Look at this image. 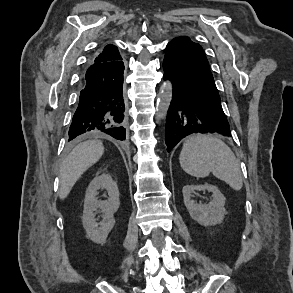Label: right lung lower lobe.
<instances>
[{"label": "right lung lower lobe", "mask_w": 293, "mask_h": 293, "mask_svg": "<svg viewBox=\"0 0 293 293\" xmlns=\"http://www.w3.org/2000/svg\"><path fill=\"white\" fill-rule=\"evenodd\" d=\"M122 61L92 64L86 71L69 141L79 135H110L125 140Z\"/></svg>", "instance_id": "1"}]
</instances>
